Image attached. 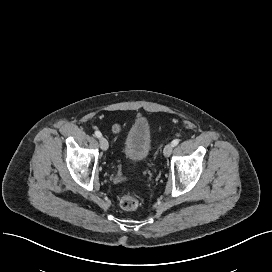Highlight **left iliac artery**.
<instances>
[{
	"instance_id": "obj_1",
	"label": "left iliac artery",
	"mask_w": 272,
	"mask_h": 272,
	"mask_svg": "<svg viewBox=\"0 0 272 272\" xmlns=\"http://www.w3.org/2000/svg\"><path fill=\"white\" fill-rule=\"evenodd\" d=\"M179 139H174L173 141H172V145L173 146H176V145H178L179 144Z\"/></svg>"
}]
</instances>
